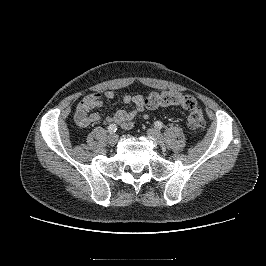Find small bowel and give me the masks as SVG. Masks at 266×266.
I'll list each match as a JSON object with an SVG mask.
<instances>
[{"mask_svg": "<svg viewBox=\"0 0 266 266\" xmlns=\"http://www.w3.org/2000/svg\"><path fill=\"white\" fill-rule=\"evenodd\" d=\"M113 99L115 93L108 90L104 93L94 92L86 95L78 104L75 111V122L80 128H86L91 124L100 122H113L123 129H130L133 127V120L137 115L143 118H148L149 114L144 103L142 95H125L123 102L131 105L132 109L129 111L118 110L113 115L94 112V109L102 106V99Z\"/></svg>", "mask_w": 266, "mask_h": 266, "instance_id": "small-bowel-1", "label": "small bowel"}]
</instances>
